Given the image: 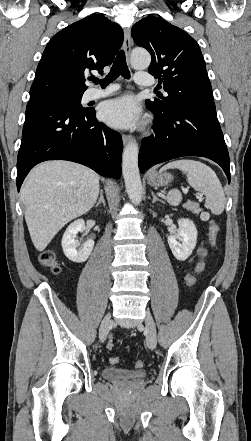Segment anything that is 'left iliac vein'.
I'll return each instance as SVG.
<instances>
[{"instance_id":"1","label":"left iliac vein","mask_w":251,"mask_h":441,"mask_svg":"<svg viewBox=\"0 0 251 441\" xmlns=\"http://www.w3.org/2000/svg\"><path fill=\"white\" fill-rule=\"evenodd\" d=\"M145 325L147 329L146 343L153 350L157 345V337L155 322L150 312H146Z\"/></svg>"}]
</instances>
